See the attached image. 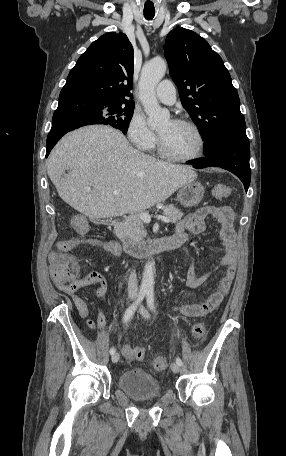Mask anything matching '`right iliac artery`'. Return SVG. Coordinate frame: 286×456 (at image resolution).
Here are the masks:
<instances>
[{"label": "right iliac artery", "mask_w": 286, "mask_h": 456, "mask_svg": "<svg viewBox=\"0 0 286 456\" xmlns=\"http://www.w3.org/2000/svg\"><path fill=\"white\" fill-rule=\"evenodd\" d=\"M146 293L147 292L145 290L139 291L136 301L133 304H131L125 311V314L123 317L124 323L128 322L133 317L138 305L143 301ZM115 351H116L115 348L112 347L109 352L111 355H113L115 353Z\"/></svg>", "instance_id": "obj_1"}]
</instances>
